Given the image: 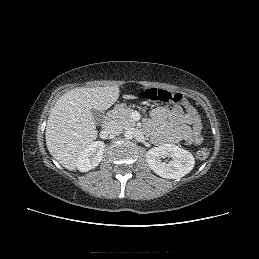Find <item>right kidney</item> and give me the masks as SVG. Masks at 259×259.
<instances>
[{"mask_svg": "<svg viewBox=\"0 0 259 259\" xmlns=\"http://www.w3.org/2000/svg\"><path fill=\"white\" fill-rule=\"evenodd\" d=\"M105 144L102 141H95L89 144L78 156L77 169L87 172L98 166L103 158Z\"/></svg>", "mask_w": 259, "mask_h": 259, "instance_id": "obj_1", "label": "right kidney"}]
</instances>
